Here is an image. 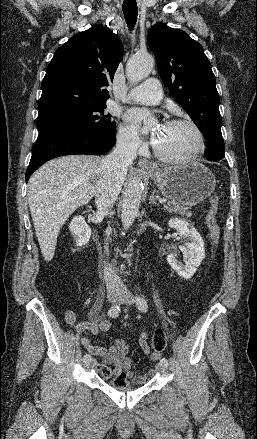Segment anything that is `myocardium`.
<instances>
[{
  "label": "myocardium",
  "mask_w": 257,
  "mask_h": 439,
  "mask_svg": "<svg viewBox=\"0 0 257 439\" xmlns=\"http://www.w3.org/2000/svg\"><path fill=\"white\" fill-rule=\"evenodd\" d=\"M165 125H188V126H190L196 134L198 146L194 151H192L186 155H169V154H166L163 151H161L158 148L156 142H153V151H154L155 155L160 160L166 161V162H171V163L189 162V161L195 160L204 152L205 147H206L205 137H204V134H203L202 130L200 129V127L194 121H192L190 119H186V118H175V119H171V120L166 121Z\"/></svg>",
  "instance_id": "1"
}]
</instances>
